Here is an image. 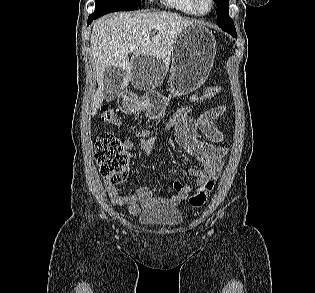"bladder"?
<instances>
[{
  "label": "bladder",
  "mask_w": 315,
  "mask_h": 293,
  "mask_svg": "<svg viewBox=\"0 0 315 293\" xmlns=\"http://www.w3.org/2000/svg\"><path fill=\"white\" fill-rule=\"evenodd\" d=\"M183 215L176 209L163 205H156L143 211L139 216L141 225L175 227L182 223Z\"/></svg>",
  "instance_id": "1"
}]
</instances>
